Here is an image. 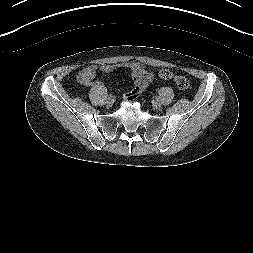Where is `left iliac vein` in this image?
<instances>
[{
  "label": "left iliac vein",
  "instance_id": "obj_1",
  "mask_svg": "<svg viewBox=\"0 0 253 253\" xmlns=\"http://www.w3.org/2000/svg\"><path fill=\"white\" fill-rule=\"evenodd\" d=\"M153 107H154L155 109H160L161 104H160V103H155V102L153 101Z\"/></svg>",
  "mask_w": 253,
  "mask_h": 253
}]
</instances>
